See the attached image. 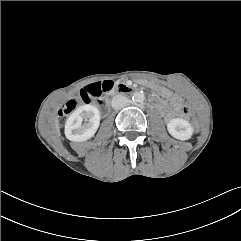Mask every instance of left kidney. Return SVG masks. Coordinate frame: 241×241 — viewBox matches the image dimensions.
Returning <instances> with one entry per match:
<instances>
[{"instance_id": "1", "label": "left kidney", "mask_w": 241, "mask_h": 241, "mask_svg": "<svg viewBox=\"0 0 241 241\" xmlns=\"http://www.w3.org/2000/svg\"><path fill=\"white\" fill-rule=\"evenodd\" d=\"M168 132L178 140H188L193 135L194 129L191 124L181 118H175L167 124Z\"/></svg>"}]
</instances>
